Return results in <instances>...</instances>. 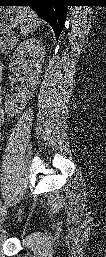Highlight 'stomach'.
I'll return each mask as SVG.
<instances>
[{
  "instance_id": "obj_1",
  "label": "stomach",
  "mask_w": 106,
  "mask_h": 257,
  "mask_svg": "<svg viewBox=\"0 0 106 257\" xmlns=\"http://www.w3.org/2000/svg\"><path fill=\"white\" fill-rule=\"evenodd\" d=\"M18 9V8H17ZM15 7L0 8V33H9L20 23V16Z\"/></svg>"
}]
</instances>
